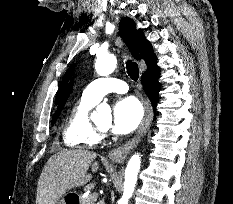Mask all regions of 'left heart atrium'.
I'll list each match as a JSON object with an SVG mask.
<instances>
[{
  "mask_svg": "<svg viewBox=\"0 0 233 204\" xmlns=\"http://www.w3.org/2000/svg\"><path fill=\"white\" fill-rule=\"evenodd\" d=\"M142 118L143 107L135 97L120 99L113 108L112 132L128 134L139 126Z\"/></svg>",
  "mask_w": 233,
  "mask_h": 204,
  "instance_id": "obj_1",
  "label": "left heart atrium"
}]
</instances>
